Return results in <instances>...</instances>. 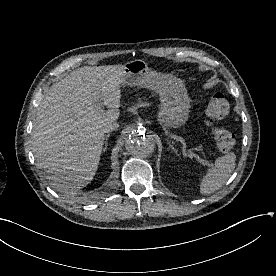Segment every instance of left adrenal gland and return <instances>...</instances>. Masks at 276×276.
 I'll list each match as a JSON object with an SVG mask.
<instances>
[{
	"mask_svg": "<svg viewBox=\"0 0 276 276\" xmlns=\"http://www.w3.org/2000/svg\"><path fill=\"white\" fill-rule=\"evenodd\" d=\"M169 148H171L177 155H178V152H177V150L173 147V145L172 144H170L169 143Z\"/></svg>",
	"mask_w": 276,
	"mask_h": 276,
	"instance_id": "left-adrenal-gland-1",
	"label": "left adrenal gland"
}]
</instances>
